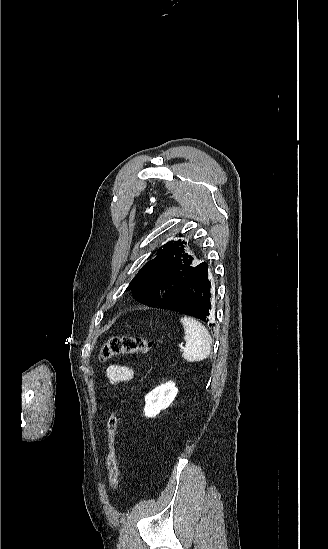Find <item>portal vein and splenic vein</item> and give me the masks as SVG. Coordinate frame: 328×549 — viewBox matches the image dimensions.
<instances>
[{
    "label": "portal vein and splenic vein",
    "instance_id": "18ae733b",
    "mask_svg": "<svg viewBox=\"0 0 328 549\" xmlns=\"http://www.w3.org/2000/svg\"><path fill=\"white\" fill-rule=\"evenodd\" d=\"M182 348H183V345L179 344V350H182Z\"/></svg>",
    "mask_w": 328,
    "mask_h": 549
}]
</instances>
